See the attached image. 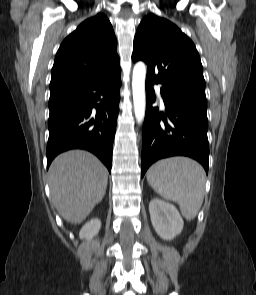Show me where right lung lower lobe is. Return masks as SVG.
Here are the masks:
<instances>
[{
    "label": "right lung lower lobe",
    "mask_w": 256,
    "mask_h": 295,
    "mask_svg": "<svg viewBox=\"0 0 256 295\" xmlns=\"http://www.w3.org/2000/svg\"><path fill=\"white\" fill-rule=\"evenodd\" d=\"M120 73H103L50 92L47 168L59 153L80 148L94 153L111 172Z\"/></svg>",
    "instance_id": "obj_1"
}]
</instances>
